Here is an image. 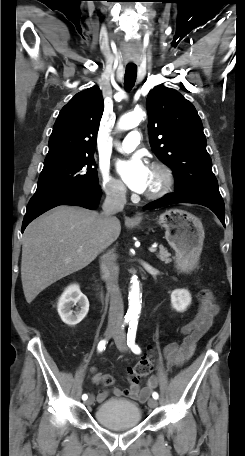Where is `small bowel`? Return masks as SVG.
Segmentation results:
<instances>
[{
    "label": "small bowel",
    "instance_id": "c3829d8e",
    "mask_svg": "<svg viewBox=\"0 0 245 456\" xmlns=\"http://www.w3.org/2000/svg\"><path fill=\"white\" fill-rule=\"evenodd\" d=\"M219 312L213 294L209 290H202L199 294L197 314L195 318L181 328L182 341L169 343L164 348V357L168 365L181 366L192 357L198 341L211 328L214 317ZM93 381L97 384L110 387L97 395V401H104L110 394L117 397H130L133 400L144 402L157 386L158 379L151 376L144 387L137 381L129 379V388L121 389L115 385L113 376L95 373Z\"/></svg>",
    "mask_w": 245,
    "mask_h": 456
}]
</instances>
